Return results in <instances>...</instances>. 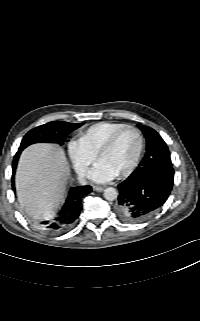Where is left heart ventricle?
Segmentation results:
<instances>
[{"mask_svg":"<svg viewBox=\"0 0 200 321\" xmlns=\"http://www.w3.org/2000/svg\"><path fill=\"white\" fill-rule=\"evenodd\" d=\"M137 150V135L133 131H127L111 149L101 155L100 160L104 161L118 175L130 166Z\"/></svg>","mask_w":200,"mask_h":321,"instance_id":"obj_1","label":"left heart ventricle"}]
</instances>
